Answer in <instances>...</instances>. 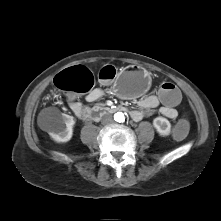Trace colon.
Wrapping results in <instances>:
<instances>
[{
    "instance_id": "obj_1",
    "label": "colon",
    "mask_w": 221,
    "mask_h": 221,
    "mask_svg": "<svg viewBox=\"0 0 221 221\" xmlns=\"http://www.w3.org/2000/svg\"><path fill=\"white\" fill-rule=\"evenodd\" d=\"M116 76V69L106 65L98 72L101 81H111ZM54 84L60 90L74 96L75 94L90 92L95 84L93 73L85 66L79 65L59 73ZM157 97L161 104L170 109L178 108L183 101L182 93L173 82H163L157 88ZM191 130V123L187 117H180L175 128L170 131V136L176 140H183Z\"/></svg>"
}]
</instances>
